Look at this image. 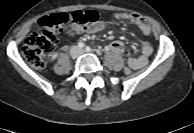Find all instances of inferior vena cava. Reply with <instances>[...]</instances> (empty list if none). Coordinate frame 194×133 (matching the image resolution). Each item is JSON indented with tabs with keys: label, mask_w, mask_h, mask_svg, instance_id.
Here are the masks:
<instances>
[{
	"label": "inferior vena cava",
	"mask_w": 194,
	"mask_h": 133,
	"mask_svg": "<svg viewBox=\"0 0 194 133\" xmlns=\"http://www.w3.org/2000/svg\"><path fill=\"white\" fill-rule=\"evenodd\" d=\"M82 53V51H79L78 53H77V55H79V54H81Z\"/></svg>",
	"instance_id": "inferior-vena-cava-1"
}]
</instances>
